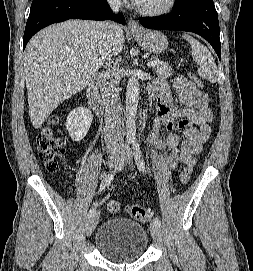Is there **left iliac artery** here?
Returning a JSON list of instances; mask_svg holds the SVG:
<instances>
[{
	"label": "left iliac artery",
	"mask_w": 253,
	"mask_h": 271,
	"mask_svg": "<svg viewBox=\"0 0 253 271\" xmlns=\"http://www.w3.org/2000/svg\"><path fill=\"white\" fill-rule=\"evenodd\" d=\"M132 146H133V150H134V158L137 164V167L139 169V171L143 172L145 171V162L143 159V153L140 147V144L136 141V140H132ZM154 223L157 225H161V221L158 217L154 218Z\"/></svg>",
	"instance_id": "obj_1"
}]
</instances>
